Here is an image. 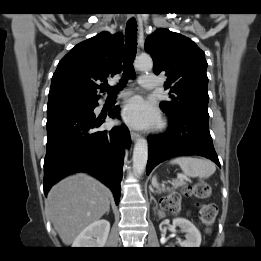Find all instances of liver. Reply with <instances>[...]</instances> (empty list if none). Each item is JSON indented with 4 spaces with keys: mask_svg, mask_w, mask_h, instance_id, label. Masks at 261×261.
<instances>
[{
    "mask_svg": "<svg viewBox=\"0 0 261 261\" xmlns=\"http://www.w3.org/2000/svg\"><path fill=\"white\" fill-rule=\"evenodd\" d=\"M109 197L106 186L84 173L67 177L50 190L47 210L65 245L110 209Z\"/></svg>",
    "mask_w": 261,
    "mask_h": 261,
    "instance_id": "liver-1",
    "label": "liver"
}]
</instances>
